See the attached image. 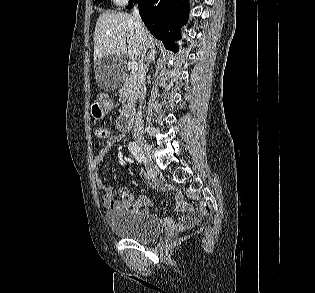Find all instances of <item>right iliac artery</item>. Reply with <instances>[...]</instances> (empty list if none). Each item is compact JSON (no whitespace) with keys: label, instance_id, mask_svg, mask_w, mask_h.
Segmentation results:
<instances>
[{"label":"right iliac artery","instance_id":"1","mask_svg":"<svg viewBox=\"0 0 315 293\" xmlns=\"http://www.w3.org/2000/svg\"><path fill=\"white\" fill-rule=\"evenodd\" d=\"M129 151L136 158V160L141 163L143 160V154L139 148V146L135 142H130L128 145Z\"/></svg>","mask_w":315,"mask_h":293}]
</instances>
